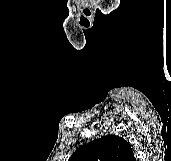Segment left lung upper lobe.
Wrapping results in <instances>:
<instances>
[{
	"label": "left lung upper lobe",
	"mask_w": 171,
	"mask_h": 161,
	"mask_svg": "<svg viewBox=\"0 0 171 161\" xmlns=\"http://www.w3.org/2000/svg\"><path fill=\"white\" fill-rule=\"evenodd\" d=\"M130 144L120 136L106 135L79 147L68 161H133Z\"/></svg>",
	"instance_id": "1"
}]
</instances>
